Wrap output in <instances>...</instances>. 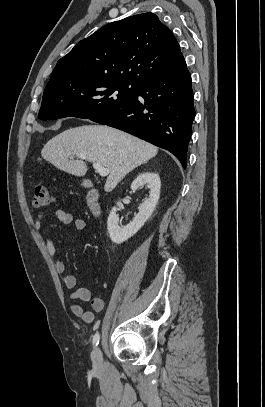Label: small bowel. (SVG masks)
<instances>
[{
	"label": "small bowel",
	"instance_id": "c3829d8e",
	"mask_svg": "<svg viewBox=\"0 0 265 407\" xmlns=\"http://www.w3.org/2000/svg\"><path fill=\"white\" fill-rule=\"evenodd\" d=\"M47 211H41L35 219V229L40 230L42 227V222L47 215ZM54 214L58 222L62 225H71L73 224L74 228L78 231L84 230L86 227V222L82 218H75L73 214L66 212L64 210H55ZM45 246L48 254L51 257H56L57 248L54 241L47 237L45 239ZM56 271L59 274H63V283L67 289L72 290L70 295L71 299L77 300L71 305V312L73 315L80 317L86 323H91L94 320V313H99L104 309V299L102 296L97 295L92 297L90 290L86 287H77L76 277L72 274H64L66 270V264L62 259H56L54 262ZM84 302H90L92 306V311L84 307Z\"/></svg>",
	"mask_w": 265,
	"mask_h": 407
}]
</instances>
